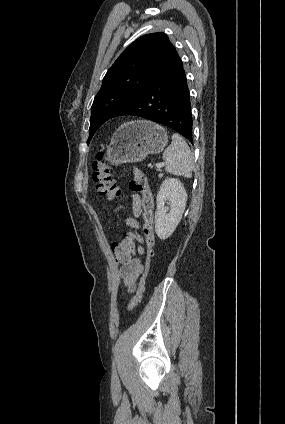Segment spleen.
<instances>
[{"label": "spleen", "instance_id": "1", "mask_svg": "<svg viewBox=\"0 0 285 424\" xmlns=\"http://www.w3.org/2000/svg\"><path fill=\"white\" fill-rule=\"evenodd\" d=\"M166 171L170 174L190 178L193 170V157L186 141L178 134H173L172 143L163 153Z\"/></svg>", "mask_w": 285, "mask_h": 424}]
</instances>
